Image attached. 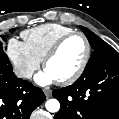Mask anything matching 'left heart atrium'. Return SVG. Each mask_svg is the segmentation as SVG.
Instances as JSON below:
<instances>
[{
    "label": "left heart atrium",
    "mask_w": 119,
    "mask_h": 119,
    "mask_svg": "<svg viewBox=\"0 0 119 119\" xmlns=\"http://www.w3.org/2000/svg\"><path fill=\"white\" fill-rule=\"evenodd\" d=\"M53 81H55V78L47 70L38 73L36 76V82L40 85H48Z\"/></svg>",
    "instance_id": "1"
}]
</instances>
